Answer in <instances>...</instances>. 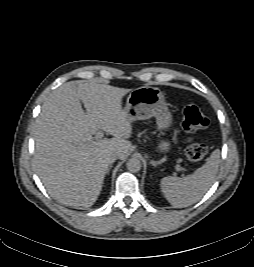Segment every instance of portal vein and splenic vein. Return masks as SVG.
<instances>
[{"label":"portal vein and splenic vein","instance_id":"18ae733b","mask_svg":"<svg viewBox=\"0 0 254 267\" xmlns=\"http://www.w3.org/2000/svg\"><path fill=\"white\" fill-rule=\"evenodd\" d=\"M103 136H104L103 132H102L101 130H98V131L95 133V140H101ZM175 169H176V171H183V170H185V169L182 168L180 165H176V166H175Z\"/></svg>","mask_w":254,"mask_h":267}]
</instances>
